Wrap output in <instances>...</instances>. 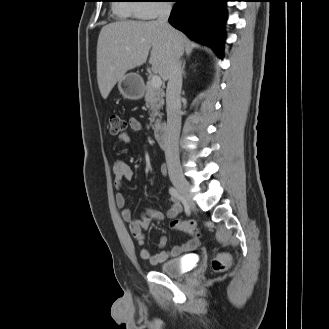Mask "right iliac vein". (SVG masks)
Listing matches in <instances>:
<instances>
[{
	"instance_id": "1",
	"label": "right iliac vein",
	"mask_w": 329,
	"mask_h": 329,
	"mask_svg": "<svg viewBox=\"0 0 329 329\" xmlns=\"http://www.w3.org/2000/svg\"><path fill=\"white\" fill-rule=\"evenodd\" d=\"M173 185L178 189L182 196L188 201V203L193 206L190 193V185L187 180L183 177H172Z\"/></svg>"
}]
</instances>
